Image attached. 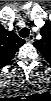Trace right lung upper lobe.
Masks as SVG:
<instances>
[{
    "label": "right lung upper lobe",
    "mask_w": 51,
    "mask_h": 101,
    "mask_svg": "<svg viewBox=\"0 0 51 101\" xmlns=\"http://www.w3.org/2000/svg\"><path fill=\"white\" fill-rule=\"evenodd\" d=\"M25 43L13 31L6 30L0 25V68L7 65L14 57L16 51Z\"/></svg>",
    "instance_id": "cb5924a9"
}]
</instances>
